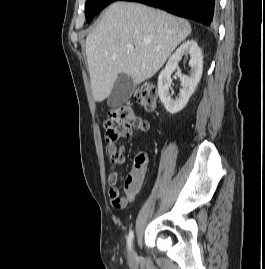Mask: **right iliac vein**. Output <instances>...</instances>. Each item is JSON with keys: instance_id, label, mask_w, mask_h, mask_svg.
Segmentation results:
<instances>
[{"instance_id": "63e3f726", "label": "right iliac vein", "mask_w": 265, "mask_h": 269, "mask_svg": "<svg viewBox=\"0 0 265 269\" xmlns=\"http://www.w3.org/2000/svg\"><path fill=\"white\" fill-rule=\"evenodd\" d=\"M130 259H133L134 258V254L131 253L130 256H129Z\"/></svg>"}]
</instances>
